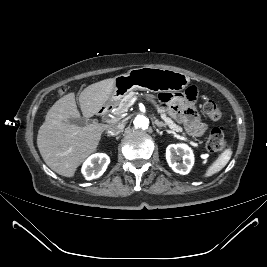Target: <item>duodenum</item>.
<instances>
[{
  "label": "duodenum",
  "instance_id": "1",
  "mask_svg": "<svg viewBox=\"0 0 267 267\" xmlns=\"http://www.w3.org/2000/svg\"><path fill=\"white\" fill-rule=\"evenodd\" d=\"M107 111H108V109H107L106 107L101 108V109H99V110L97 111V115H98V116H103V115H105V114L107 113Z\"/></svg>",
  "mask_w": 267,
  "mask_h": 267
}]
</instances>
